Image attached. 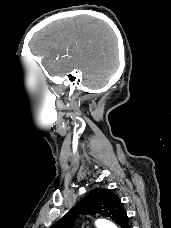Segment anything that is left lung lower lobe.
<instances>
[{
  "label": "left lung lower lobe",
  "instance_id": "0a47b994",
  "mask_svg": "<svg viewBox=\"0 0 171 228\" xmlns=\"http://www.w3.org/2000/svg\"><path fill=\"white\" fill-rule=\"evenodd\" d=\"M124 228H130L128 222H127V224L124 226Z\"/></svg>",
  "mask_w": 171,
  "mask_h": 228
}]
</instances>
